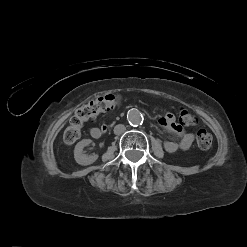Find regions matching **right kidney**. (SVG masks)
I'll list each match as a JSON object with an SVG mask.
<instances>
[{"mask_svg": "<svg viewBox=\"0 0 247 247\" xmlns=\"http://www.w3.org/2000/svg\"><path fill=\"white\" fill-rule=\"evenodd\" d=\"M91 142V139H83L76 144L74 149V158L78 164L86 166L94 163L98 159V155L94 154L87 156L83 153V148L89 145Z\"/></svg>", "mask_w": 247, "mask_h": 247, "instance_id": "obj_1", "label": "right kidney"}]
</instances>
